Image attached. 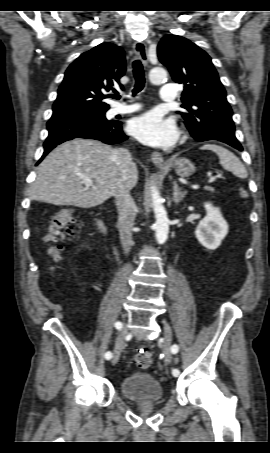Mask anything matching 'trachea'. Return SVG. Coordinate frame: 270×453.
<instances>
[{
  "mask_svg": "<svg viewBox=\"0 0 270 453\" xmlns=\"http://www.w3.org/2000/svg\"><path fill=\"white\" fill-rule=\"evenodd\" d=\"M133 75L135 79L134 89L132 91L133 95L139 93L145 86V74L142 63L140 60H135L133 62ZM115 99H120L119 94L114 95Z\"/></svg>",
  "mask_w": 270,
  "mask_h": 453,
  "instance_id": "trachea-1",
  "label": "trachea"
}]
</instances>
